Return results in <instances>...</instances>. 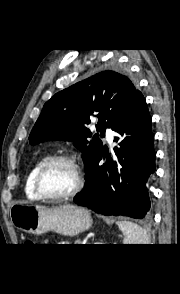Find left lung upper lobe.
<instances>
[{
    "mask_svg": "<svg viewBox=\"0 0 180 294\" xmlns=\"http://www.w3.org/2000/svg\"><path fill=\"white\" fill-rule=\"evenodd\" d=\"M133 82L116 71L100 72L58 93L45 103L29 136L34 145L48 140L74 141L82 151L87 173L91 162L102 147V142L88 141L91 132L85 127L90 116L99 118L97 131L101 137L126 110L136 93ZM102 128V129H101Z\"/></svg>",
    "mask_w": 180,
    "mask_h": 294,
    "instance_id": "left-lung-upper-lobe-1",
    "label": "left lung upper lobe"
}]
</instances>
